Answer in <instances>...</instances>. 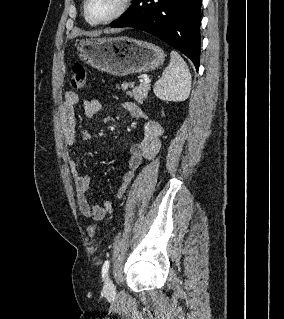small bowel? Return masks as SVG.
<instances>
[{
    "mask_svg": "<svg viewBox=\"0 0 284 319\" xmlns=\"http://www.w3.org/2000/svg\"><path fill=\"white\" fill-rule=\"evenodd\" d=\"M79 102V96L72 90L66 91L64 101L60 110V122L62 134L68 145L76 143V113L75 106ZM124 109L135 119H143V136L139 143H134L128 149L127 170L122 177L121 186L116 192L117 199H121L130 183L132 182L135 172L143 164L155 157L160 149L161 137L163 135L162 126L155 120L147 117L145 113L133 103H125ZM102 109L101 103L96 99H88L83 102L84 114L88 117L98 114ZM77 204L80 212L87 218L95 221H101L114 210L111 201H105L103 204H93L87 197L90 188L91 177L81 175L75 162L70 163Z\"/></svg>",
    "mask_w": 284,
    "mask_h": 319,
    "instance_id": "obj_1",
    "label": "small bowel"
}]
</instances>
